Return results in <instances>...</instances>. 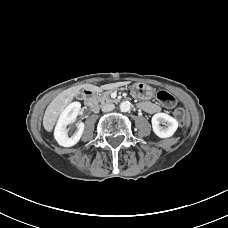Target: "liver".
I'll return each instance as SVG.
<instances>
[{
    "mask_svg": "<svg viewBox=\"0 0 228 228\" xmlns=\"http://www.w3.org/2000/svg\"><path fill=\"white\" fill-rule=\"evenodd\" d=\"M123 83L110 84L108 86L97 87L92 84H83L74 86L62 91L58 94L48 105L44 117L43 126L47 132H51L54 128L55 123L59 115L62 113L64 108L73 100V98L79 93L81 89H86L92 92H100L102 89H107L114 86L122 85Z\"/></svg>",
    "mask_w": 228,
    "mask_h": 228,
    "instance_id": "1",
    "label": "liver"
}]
</instances>
